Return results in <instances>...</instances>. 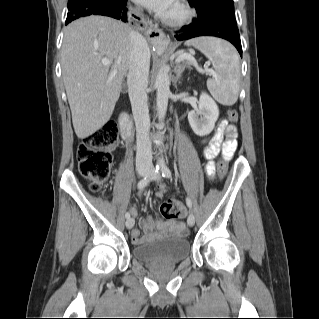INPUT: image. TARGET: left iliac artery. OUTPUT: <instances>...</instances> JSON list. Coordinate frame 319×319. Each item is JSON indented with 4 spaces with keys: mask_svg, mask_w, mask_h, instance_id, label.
<instances>
[{
    "mask_svg": "<svg viewBox=\"0 0 319 319\" xmlns=\"http://www.w3.org/2000/svg\"><path fill=\"white\" fill-rule=\"evenodd\" d=\"M161 172H162V176L165 177V178H170L171 177V171L170 169L167 167V165L165 163H163L161 165ZM186 204L189 208L192 207V202L190 200V198H186Z\"/></svg>",
    "mask_w": 319,
    "mask_h": 319,
    "instance_id": "1",
    "label": "left iliac artery"
}]
</instances>
